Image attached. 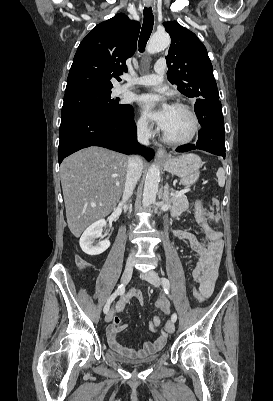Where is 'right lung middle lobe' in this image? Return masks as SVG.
<instances>
[{
    "mask_svg": "<svg viewBox=\"0 0 273 401\" xmlns=\"http://www.w3.org/2000/svg\"><path fill=\"white\" fill-rule=\"evenodd\" d=\"M120 98H112L111 90L86 91L64 96L61 118L76 113H97L116 118L125 117L129 104L119 103Z\"/></svg>",
    "mask_w": 273,
    "mask_h": 401,
    "instance_id": "right-lung-middle-lobe-1",
    "label": "right lung middle lobe"
}]
</instances>
